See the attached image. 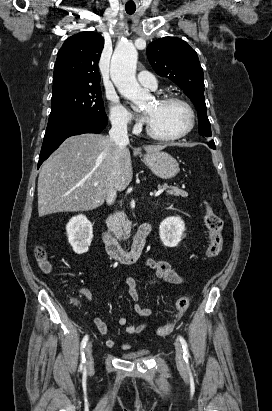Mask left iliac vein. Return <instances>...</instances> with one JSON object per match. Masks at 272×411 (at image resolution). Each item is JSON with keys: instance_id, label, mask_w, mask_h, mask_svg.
Returning a JSON list of instances; mask_svg holds the SVG:
<instances>
[{"instance_id": "1", "label": "left iliac vein", "mask_w": 272, "mask_h": 411, "mask_svg": "<svg viewBox=\"0 0 272 411\" xmlns=\"http://www.w3.org/2000/svg\"><path fill=\"white\" fill-rule=\"evenodd\" d=\"M175 351H176V363L179 367L184 366L183 350L178 341L174 342Z\"/></svg>"}]
</instances>
